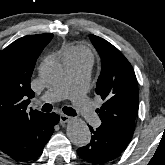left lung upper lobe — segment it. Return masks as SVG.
Listing matches in <instances>:
<instances>
[{"instance_id": "obj_1", "label": "left lung upper lobe", "mask_w": 165, "mask_h": 165, "mask_svg": "<svg viewBox=\"0 0 165 165\" xmlns=\"http://www.w3.org/2000/svg\"><path fill=\"white\" fill-rule=\"evenodd\" d=\"M89 37L102 62L96 94L104 100V104L96 112L102 125L132 138L139 107L134 70L125 56L108 41L95 35Z\"/></svg>"}]
</instances>
